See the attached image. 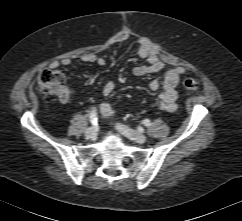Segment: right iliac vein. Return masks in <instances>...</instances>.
<instances>
[{
	"instance_id": "1",
	"label": "right iliac vein",
	"mask_w": 242,
	"mask_h": 221,
	"mask_svg": "<svg viewBox=\"0 0 242 221\" xmlns=\"http://www.w3.org/2000/svg\"><path fill=\"white\" fill-rule=\"evenodd\" d=\"M85 136L90 139H95L97 137V130L95 127H90L85 131Z\"/></svg>"
}]
</instances>
